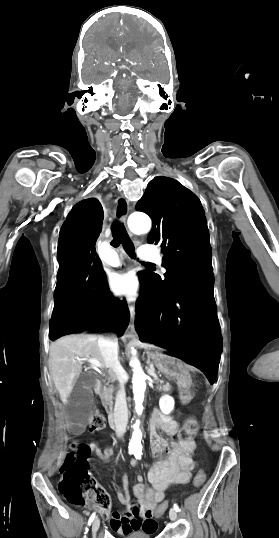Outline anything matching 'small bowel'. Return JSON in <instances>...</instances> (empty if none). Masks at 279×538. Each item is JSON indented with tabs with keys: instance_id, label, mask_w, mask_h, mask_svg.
<instances>
[{
	"instance_id": "c3829d8e",
	"label": "small bowel",
	"mask_w": 279,
	"mask_h": 538,
	"mask_svg": "<svg viewBox=\"0 0 279 538\" xmlns=\"http://www.w3.org/2000/svg\"><path fill=\"white\" fill-rule=\"evenodd\" d=\"M158 430L163 431L167 436H173L177 431L175 422H165L159 414H156L150 430V444L157 460L149 470V485L143 483V477L137 476L138 484L134 487L133 492L142 513L139 515L121 516L113 513L110 517V526L112 530L119 534H125L132 530H142L153 533L156 530V522L152 518L153 509L165 497L169 488L176 484H187L191 479L192 460L190 449L194 442L182 443L169 441L158 434ZM91 451L104 462L109 461L112 456L110 449L101 450L96 442L87 445ZM138 461L134 458L130 465L135 467ZM123 492H118V500L129 506L130 489L127 476L123 474Z\"/></svg>"
}]
</instances>
